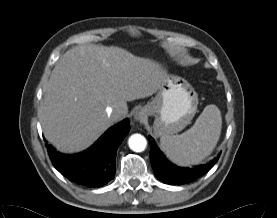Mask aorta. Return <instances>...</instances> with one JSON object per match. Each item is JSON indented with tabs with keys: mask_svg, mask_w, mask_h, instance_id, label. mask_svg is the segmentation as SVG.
I'll return each mask as SVG.
<instances>
[{
	"mask_svg": "<svg viewBox=\"0 0 277 218\" xmlns=\"http://www.w3.org/2000/svg\"><path fill=\"white\" fill-rule=\"evenodd\" d=\"M128 145L134 152H142L146 148L147 141L141 134H133L128 140Z\"/></svg>",
	"mask_w": 277,
	"mask_h": 218,
	"instance_id": "obj_1",
	"label": "aorta"
}]
</instances>
